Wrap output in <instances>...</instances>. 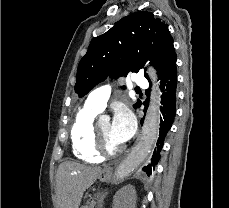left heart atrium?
I'll use <instances>...</instances> for the list:
<instances>
[{"mask_svg":"<svg viewBox=\"0 0 229 208\" xmlns=\"http://www.w3.org/2000/svg\"><path fill=\"white\" fill-rule=\"evenodd\" d=\"M136 130V119L133 112L126 106H119L111 124L113 138L119 143L128 141Z\"/></svg>","mask_w":229,"mask_h":208,"instance_id":"39dd6f15","label":"left heart atrium"}]
</instances>
